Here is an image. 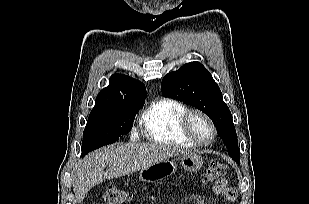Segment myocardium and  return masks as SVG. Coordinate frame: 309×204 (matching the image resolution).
I'll list each match as a JSON object with an SVG mask.
<instances>
[{
  "label": "myocardium",
  "instance_id": "1",
  "mask_svg": "<svg viewBox=\"0 0 309 204\" xmlns=\"http://www.w3.org/2000/svg\"><path fill=\"white\" fill-rule=\"evenodd\" d=\"M200 116L202 117L209 125L211 129V138L208 141H201L196 137V135L193 133V130L191 128V120L194 116ZM181 128L186 135V137L193 142L195 145L198 146H208L213 143V141L216 138L217 135V130L216 127L211 120V118L202 110L192 108V109H187L186 112L183 114L182 119H181Z\"/></svg>",
  "mask_w": 309,
  "mask_h": 204
}]
</instances>
